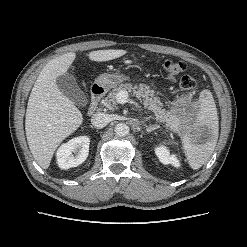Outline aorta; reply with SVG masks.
Wrapping results in <instances>:
<instances>
[{
	"mask_svg": "<svg viewBox=\"0 0 247 247\" xmlns=\"http://www.w3.org/2000/svg\"><path fill=\"white\" fill-rule=\"evenodd\" d=\"M129 126L126 125L125 123H118L116 126H115V134L117 136H120V137H124L126 135L129 134Z\"/></svg>",
	"mask_w": 247,
	"mask_h": 247,
	"instance_id": "obj_1",
	"label": "aorta"
}]
</instances>
